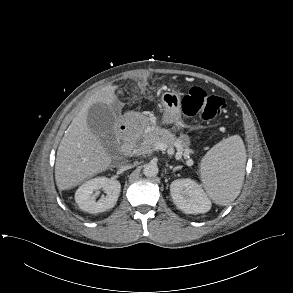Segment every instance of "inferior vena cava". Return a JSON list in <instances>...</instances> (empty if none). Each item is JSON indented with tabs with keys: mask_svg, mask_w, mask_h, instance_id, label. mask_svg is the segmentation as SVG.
<instances>
[{
	"mask_svg": "<svg viewBox=\"0 0 293 293\" xmlns=\"http://www.w3.org/2000/svg\"><path fill=\"white\" fill-rule=\"evenodd\" d=\"M130 168H132V165H130V164L122 165L120 167V171L123 172V171L130 169Z\"/></svg>",
	"mask_w": 293,
	"mask_h": 293,
	"instance_id": "inferior-vena-cava-1",
	"label": "inferior vena cava"
}]
</instances>
